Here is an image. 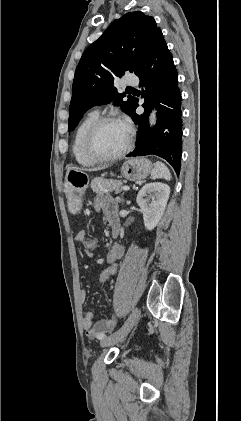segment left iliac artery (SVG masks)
I'll return each instance as SVG.
<instances>
[{"mask_svg": "<svg viewBox=\"0 0 241 421\" xmlns=\"http://www.w3.org/2000/svg\"><path fill=\"white\" fill-rule=\"evenodd\" d=\"M101 339H104L105 338V336H102V337H100Z\"/></svg>", "mask_w": 241, "mask_h": 421, "instance_id": "44dca946", "label": "left iliac artery"}]
</instances>
